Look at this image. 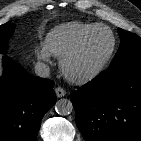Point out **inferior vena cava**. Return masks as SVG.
Instances as JSON below:
<instances>
[{
	"instance_id": "602c4592",
	"label": "inferior vena cava",
	"mask_w": 141,
	"mask_h": 141,
	"mask_svg": "<svg viewBox=\"0 0 141 141\" xmlns=\"http://www.w3.org/2000/svg\"><path fill=\"white\" fill-rule=\"evenodd\" d=\"M35 73L37 76L47 78L50 75V67L42 62H38L35 65Z\"/></svg>"
}]
</instances>
